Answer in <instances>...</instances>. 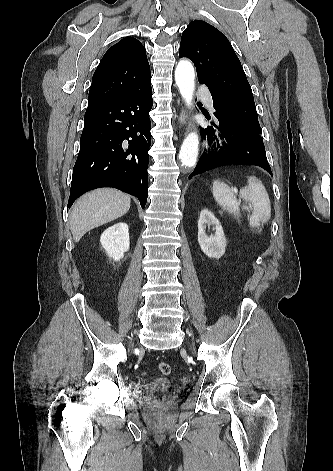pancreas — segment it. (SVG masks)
I'll list each match as a JSON object with an SVG mask.
<instances>
[{"label":"pancreas","mask_w":333,"mask_h":471,"mask_svg":"<svg viewBox=\"0 0 333 471\" xmlns=\"http://www.w3.org/2000/svg\"><path fill=\"white\" fill-rule=\"evenodd\" d=\"M237 221H238V222H240V219H239V217H237Z\"/></svg>","instance_id":"pancreas-1"}]
</instances>
